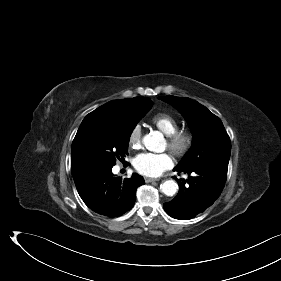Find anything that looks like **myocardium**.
Segmentation results:
<instances>
[{"label":"myocardium","instance_id":"1","mask_svg":"<svg viewBox=\"0 0 281 281\" xmlns=\"http://www.w3.org/2000/svg\"><path fill=\"white\" fill-rule=\"evenodd\" d=\"M194 143L193 134L188 130H176L167 136L168 148L177 157H183L189 153Z\"/></svg>","mask_w":281,"mask_h":281}]
</instances>
